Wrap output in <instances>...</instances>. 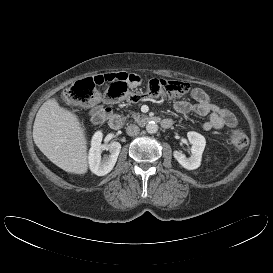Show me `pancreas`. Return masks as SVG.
Here are the masks:
<instances>
[{"label":"pancreas","mask_w":273,"mask_h":273,"mask_svg":"<svg viewBox=\"0 0 273 273\" xmlns=\"http://www.w3.org/2000/svg\"><path fill=\"white\" fill-rule=\"evenodd\" d=\"M131 117L134 118V119H139L140 118V114H138V113H132ZM123 119H126V118H123Z\"/></svg>","instance_id":"obj_1"}]
</instances>
